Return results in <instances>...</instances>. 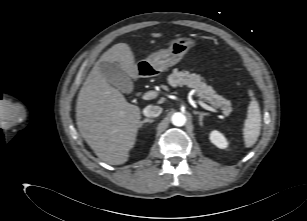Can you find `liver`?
<instances>
[{"label":"liver","instance_id":"liver-1","mask_svg":"<svg viewBox=\"0 0 307 221\" xmlns=\"http://www.w3.org/2000/svg\"><path fill=\"white\" fill-rule=\"evenodd\" d=\"M151 36L161 37V34ZM99 62L118 63L134 80L138 77L137 65L128 44H115L89 73L76 104V121L81 136L101 160L110 165H121L127 162L135 145L141 111L105 80Z\"/></svg>","mask_w":307,"mask_h":221}]
</instances>
